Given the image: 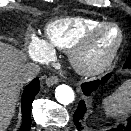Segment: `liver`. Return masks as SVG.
Instances as JSON below:
<instances>
[{
    "label": "liver",
    "mask_w": 131,
    "mask_h": 131,
    "mask_svg": "<svg viewBox=\"0 0 131 131\" xmlns=\"http://www.w3.org/2000/svg\"><path fill=\"white\" fill-rule=\"evenodd\" d=\"M25 56L0 42V131H5L13 117L20 94L17 72L24 65Z\"/></svg>",
    "instance_id": "obj_1"
}]
</instances>
